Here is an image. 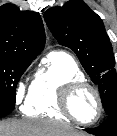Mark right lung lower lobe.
<instances>
[{"mask_svg":"<svg viewBox=\"0 0 117 136\" xmlns=\"http://www.w3.org/2000/svg\"><path fill=\"white\" fill-rule=\"evenodd\" d=\"M15 108V104L0 102V118L10 114Z\"/></svg>","mask_w":117,"mask_h":136,"instance_id":"98d812e1","label":"right lung lower lobe"}]
</instances>
